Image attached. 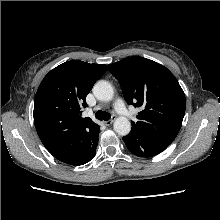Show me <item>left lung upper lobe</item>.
Instances as JSON below:
<instances>
[{
    "mask_svg": "<svg viewBox=\"0 0 220 220\" xmlns=\"http://www.w3.org/2000/svg\"><path fill=\"white\" fill-rule=\"evenodd\" d=\"M120 82L125 100L141 107L132 134L169 146L176 138L186 108L184 92L175 76L163 65L143 57H129L108 65Z\"/></svg>",
    "mask_w": 220,
    "mask_h": 220,
    "instance_id": "left-lung-upper-lobe-1",
    "label": "left lung upper lobe"
}]
</instances>
